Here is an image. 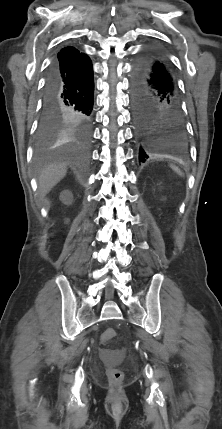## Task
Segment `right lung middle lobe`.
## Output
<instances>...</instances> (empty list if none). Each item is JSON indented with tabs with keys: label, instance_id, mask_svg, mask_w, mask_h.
I'll return each mask as SVG.
<instances>
[{
	"label": "right lung middle lobe",
	"instance_id": "obj_1",
	"mask_svg": "<svg viewBox=\"0 0 222 429\" xmlns=\"http://www.w3.org/2000/svg\"><path fill=\"white\" fill-rule=\"evenodd\" d=\"M57 130L58 129L45 128L43 126H39L38 134H37L38 147L42 148L52 143L55 139H57L60 135V133Z\"/></svg>",
	"mask_w": 222,
	"mask_h": 429
}]
</instances>
